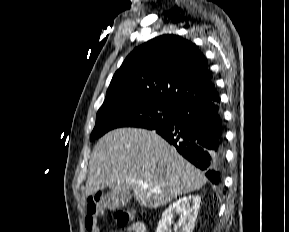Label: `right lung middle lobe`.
<instances>
[{
  "mask_svg": "<svg viewBox=\"0 0 289 232\" xmlns=\"http://www.w3.org/2000/svg\"><path fill=\"white\" fill-rule=\"evenodd\" d=\"M177 108L142 96L106 98L97 112L90 140L118 127L155 129L172 121Z\"/></svg>",
  "mask_w": 289,
  "mask_h": 232,
  "instance_id": "obj_1",
  "label": "right lung middle lobe"
}]
</instances>
